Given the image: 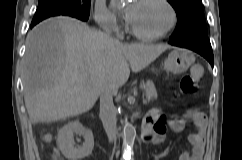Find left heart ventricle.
Listing matches in <instances>:
<instances>
[{"label": "left heart ventricle", "instance_id": "b2bd125f", "mask_svg": "<svg viewBox=\"0 0 242 160\" xmlns=\"http://www.w3.org/2000/svg\"><path fill=\"white\" fill-rule=\"evenodd\" d=\"M129 21L138 32L152 35L167 28L171 13L159 0H137Z\"/></svg>", "mask_w": 242, "mask_h": 160}]
</instances>
